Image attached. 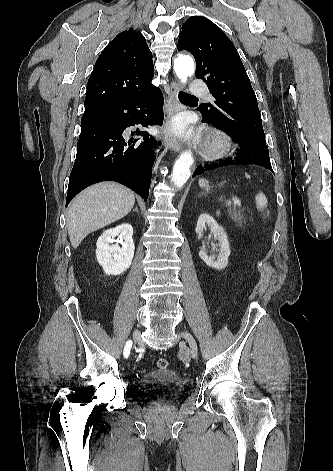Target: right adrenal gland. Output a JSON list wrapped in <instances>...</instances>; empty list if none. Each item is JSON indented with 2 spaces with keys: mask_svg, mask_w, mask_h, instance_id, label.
<instances>
[{
  "mask_svg": "<svg viewBox=\"0 0 333 471\" xmlns=\"http://www.w3.org/2000/svg\"><path fill=\"white\" fill-rule=\"evenodd\" d=\"M134 211H136L137 213L139 212L137 206L135 207V209H133V212Z\"/></svg>",
  "mask_w": 333,
  "mask_h": 471,
  "instance_id": "right-adrenal-gland-1",
  "label": "right adrenal gland"
}]
</instances>
